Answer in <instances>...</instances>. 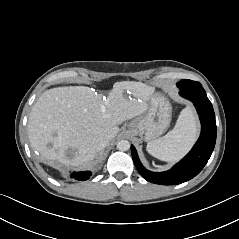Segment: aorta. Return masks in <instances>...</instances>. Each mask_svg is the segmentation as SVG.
Returning <instances> with one entry per match:
<instances>
[{
  "mask_svg": "<svg viewBox=\"0 0 239 239\" xmlns=\"http://www.w3.org/2000/svg\"><path fill=\"white\" fill-rule=\"evenodd\" d=\"M130 148V143L127 140H121L117 143V149L120 151H127Z\"/></svg>",
  "mask_w": 239,
  "mask_h": 239,
  "instance_id": "aorta-1",
  "label": "aorta"
}]
</instances>
